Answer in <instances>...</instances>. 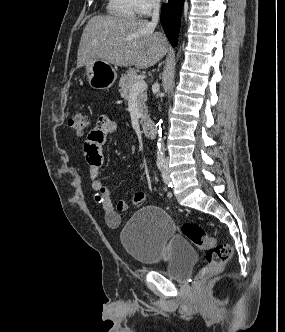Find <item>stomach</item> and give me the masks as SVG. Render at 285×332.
<instances>
[{"mask_svg": "<svg viewBox=\"0 0 285 332\" xmlns=\"http://www.w3.org/2000/svg\"><path fill=\"white\" fill-rule=\"evenodd\" d=\"M89 85L94 89L106 90L112 87L117 79L116 70L103 61H93L86 65Z\"/></svg>", "mask_w": 285, "mask_h": 332, "instance_id": "stomach-1", "label": "stomach"}]
</instances>
